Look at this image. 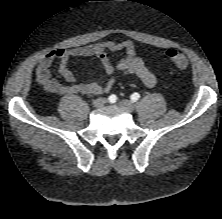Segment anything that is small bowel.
Returning <instances> with one entry per match:
<instances>
[{"mask_svg": "<svg viewBox=\"0 0 222 219\" xmlns=\"http://www.w3.org/2000/svg\"><path fill=\"white\" fill-rule=\"evenodd\" d=\"M120 50L125 51L126 55L116 64L112 63L107 53ZM91 56L99 59L106 78L77 82L73 72L68 68V61L72 57ZM55 61L59 62L58 72L65 83L51 77L50 68ZM118 72L136 76L147 87H153L157 83V77L148 69L144 61L136 55V47L130 40L120 42L107 40L84 46L54 49L39 61L35 71V79L43 89L54 94L101 95L111 90Z\"/></svg>", "mask_w": 222, "mask_h": 219, "instance_id": "small-bowel-1", "label": "small bowel"}]
</instances>
